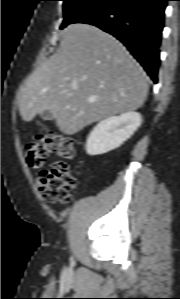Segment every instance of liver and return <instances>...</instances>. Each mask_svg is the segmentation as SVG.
<instances>
[{"instance_id":"6515ba94","label":"liver","mask_w":180,"mask_h":299,"mask_svg":"<svg viewBox=\"0 0 180 299\" xmlns=\"http://www.w3.org/2000/svg\"><path fill=\"white\" fill-rule=\"evenodd\" d=\"M148 88L143 68L116 38L92 25L71 24L56 53L20 90V114L29 122L50 110L59 130L73 135L140 108Z\"/></svg>"}]
</instances>
